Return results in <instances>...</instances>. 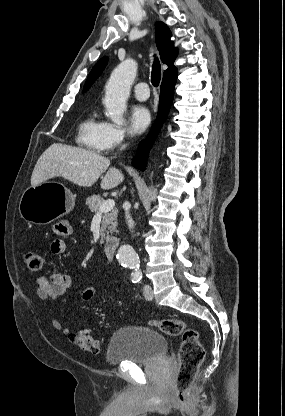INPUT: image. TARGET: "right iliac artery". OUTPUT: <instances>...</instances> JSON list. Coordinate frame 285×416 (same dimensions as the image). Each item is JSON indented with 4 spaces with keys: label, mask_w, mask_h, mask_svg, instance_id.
<instances>
[{
    "label": "right iliac artery",
    "mask_w": 285,
    "mask_h": 416,
    "mask_svg": "<svg viewBox=\"0 0 285 416\" xmlns=\"http://www.w3.org/2000/svg\"><path fill=\"white\" fill-rule=\"evenodd\" d=\"M142 275L140 273H132V282L137 283L141 280Z\"/></svg>",
    "instance_id": "obj_1"
}]
</instances>
